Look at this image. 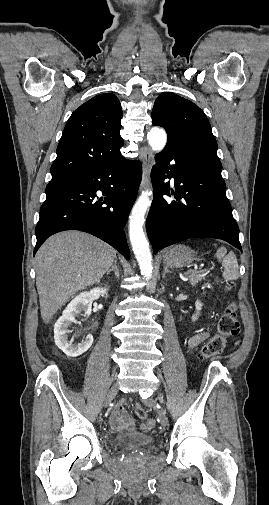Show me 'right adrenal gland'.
I'll return each mask as SVG.
<instances>
[{
    "instance_id": "1",
    "label": "right adrenal gland",
    "mask_w": 269,
    "mask_h": 505,
    "mask_svg": "<svg viewBox=\"0 0 269 505\" xmlns=\"http://www.w3.org/2000/svg\"><path fill=\"white\" fill-rule=\"evenodd\" d=\"M114 271L115 272V276L117 278L120 277V273H119V269H118V266H117V259H115L114 263H113V266L107 271V275L110 274V272Z\"/></svg>"
}]
</instances>
